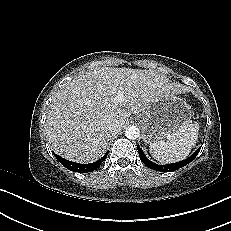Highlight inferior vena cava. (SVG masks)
<instances>
[{
  "label": "inferior vena cava",
  "mask_w": 231,
  "mask_h": 231,
  "mask_svg": "<svg viewBox=\"0 0 231 231\" xmlns=\"http://www.w3.org/2000/svg\"><path fill=\"white\" fill-rule=\"evenodd\" d=\"M106 129H107L108 133L111 134V135H115L120 131L118 126L116 124H114V123L108 125Z\"/></svg>",
  "instance_id": "602c4592"
}]
</instances>
